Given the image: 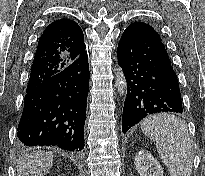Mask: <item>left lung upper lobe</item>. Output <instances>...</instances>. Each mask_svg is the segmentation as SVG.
Returning <instances> with one entry per match:
<instances>
[{"mask_svg":"<svg viewBox=\"0 0 205 176\" xmlns=\"http://www.w3.org/2000/svg\"><path fill=\"white\" fill-rule=\"evenodd\" d=\"M131 25L137 26V27L141 28L143 31H145L147 34L161 40L159 34L154 30V28L151 25L146 24V23L141 22V21L134 22Z\"/></svg>","mask_w":205,"mask_h":176,"instance_id":"1","label":"left lung upper lobe"}]
</instances>
